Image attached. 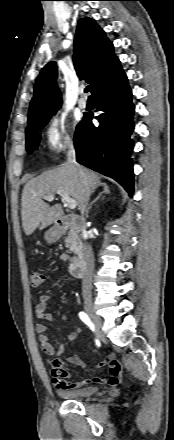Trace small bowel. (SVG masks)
Returning a JSON list of instances; mask_svg holds the SVG:
<instances>
[{
    "mask_svg": "<svg viewBox=\"0 0 174 440\" xmlns=\"http://www.w3.org/2000/svg\"><path fill=\"white\" fill-rule=\"evenodd\" d=\"M63 260H67L68 256L62 255ZM50 297L48 295H41L40 301L36 306V315L41 322L37 323L36 330L39 333V343L43 352L49 357H56L64 351V345L60 344L55 348L48 335L46 334L47 326L45 322L53 319L52 313L49 311ZM71 311L63 315V319H68L71 316ZM79 336L78 328H74L68 335L70 340H74ZM66 361L72 365H83V361L79 355L73 354L66 357ZM96 367H108V377H92L87 381H71V372L65 367L61 360L55 359L52 361V377L53 382L57 388L61 389H77L82 387L85 383L90 382L94 384L108 383L110 386H116L119 382L121 368L115 359L114 353L110 352L107 357L100 361Z\"/></svg>",
    "mask_w": 174,
    "mask_h": 440,
    "instance_id": "small-bowel-1",
    "label": "small bowel"
}]
</instances>
